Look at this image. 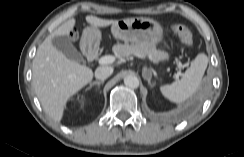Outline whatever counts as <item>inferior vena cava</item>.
<instances>
[{
    "mask_svg": "<svg viewBox=\"0 0 244 157\" xmlns=\"http://www.w3.org/2000/svg\"><path fill=\"white\" fill-rule=\"evenodd\" d=\"M113 73V68L110 66L98 67L95 71V77L99 80L107 79Z\"/></svg>",
    "mask_w": 244,
    "mask_h": 157,
    "instance_id": "inferior-vena-cava-1",
    "label": "inferior vena cava"
}]
</instances>
